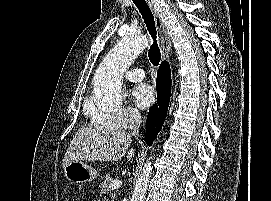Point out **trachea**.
Returning <instances> with one entry per match:
<instances>
[{"label": "trachea", "mask_w": 271, "mask_h": 201, "mask_svg": "<svg viewBox=\"0 0 271 201\" xmlns=\"http://www.w3.org/2000/svg\"><path fill=\"white\" fill-rule=\"evenodd\" d=\"M133 2L141 13L149 34L153 39V44L150 46L148 52L149 60L153 66H158L161 59V53L157 43V32L153 14L145 0H133Z\"/></svg>", "instance_id": "1"}]
</instances>
